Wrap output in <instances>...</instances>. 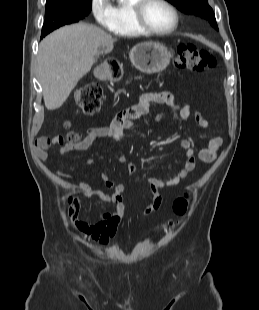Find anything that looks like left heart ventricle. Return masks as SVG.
Listing matches in <instances>:
<instances>
[{
    "mask_svg": "<svg viewBox=\"0 0 259 310\" xmlns=\"http://www.w3.org/2000/svg\"><path fill=\"white\" fill-rule=\"evenodd\" d=\"M146 22L156 30H167L174 24V16L170 9L157 0H152L145 8Z\"/></svg>",
    "mask_w": 259,
    "mask_h": 310,
    "instance_id": "obj_1",
    "label": "left heart ventricle"
}]
</instances>
